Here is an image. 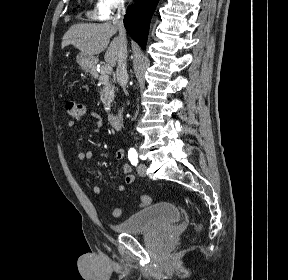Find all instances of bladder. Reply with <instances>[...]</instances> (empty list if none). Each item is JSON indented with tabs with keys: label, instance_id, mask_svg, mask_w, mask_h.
<instances>
[{
	"label": "bladder",
	"instance_id": "obj_1",
	"mask_svg": "<svg viewBox=\"0 0 288 280\" xmlns=\"http://www.w3.org/2000/svg\"><path fill=\"white\" fill-rule=\"evenodd\" d=\"M181 220L179 208L168 202H160L131 215L114 225L115 231L124 234H138L170 227Z\"/></svg>",
	"mask_w": 288,
	"mask_h": 280
}]
</instances>
